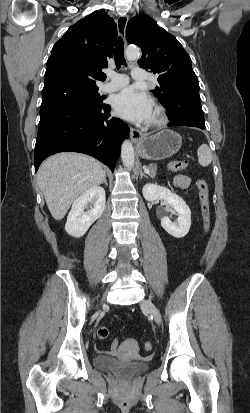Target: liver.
<instances>
[{
  "label": "liver",
  "mask_w": 250,
  "mask_h": 413,
  "mask_svg": "<svg viewBox=\"0 0 250 413\" xmlns=\"http://www.w3.org/2000/svg\"><path fill=\"white\" fill-rule=\"evenodd\" d=\"M105 177L100 162L79 153H58L47 158L37 174L48 209L55 220L66 215L71 204Z\"/></svg>",
  "instance_id": "liver-1"
}]
</instances>
